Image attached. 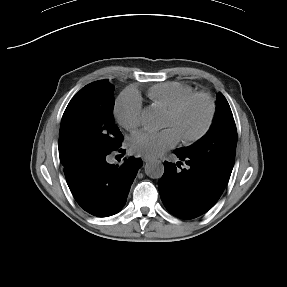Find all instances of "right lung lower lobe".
Instances as JSON below:
<instances>
[{
	"instance_id": "right-lung-lower-lobe-1",
	"label": "right lung lower lobe",
	"mask_w": 287,
	"mask_h": 287,
	"mask_svg": "<svg viewBox=\"0 0 287 287\" xmlns=\"http://www.w3.org/2000/svg\"><path fill=\"white\" fill-rule=\"evenodd\" d=\"M112 151L89 157L65 171L75 200L85 211L99 217L111 216L121 210L138 169L143 165L140 158L134 157L121 165L109 164L106 157Z\"/></svg>"
}]
</instances>
